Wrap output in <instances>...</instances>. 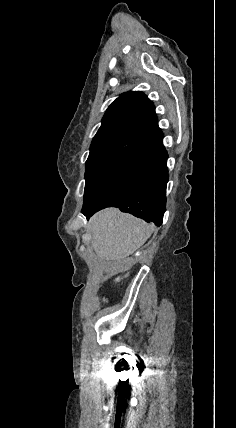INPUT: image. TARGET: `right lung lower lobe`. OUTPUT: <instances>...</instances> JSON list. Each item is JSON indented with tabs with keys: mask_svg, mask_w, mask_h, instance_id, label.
<instances>
[{
	"mask_svg": "<svg viewBox=\"0 0 236 428\" xmlns=\"http://www.w3.org/2000/svg\"><path fill=\"white\" fill-rule=\"evenodd\" d=\"M160 131L144 141V148L124 175L91 204L83 205L89 218L106 207L152 221L160 226L166 205L167 152Z\"/></svg>",
	"mask_w": 236,
	"mask_h": 428,
	"instance_id": "1",
	"label": "right lung lower lobe"
}]
</instances>
